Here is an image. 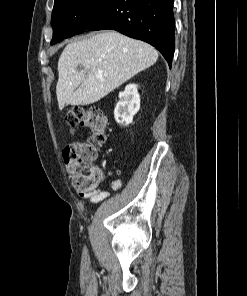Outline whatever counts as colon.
<instances>
[{
  "mask_svg": "<svg viewBox=\"0 0 247 296\" xmlns=\"http://www.w3.org/2000/svg\"><path fill=\"white\" fill-rule=\"evenodd\" d=\"M66 121L72 129L84 126L91 132L88 139L67 145L63 158L73 186L82 192L93 190L103 179V171L95 161L106 141V118L96 107L75 106L67 113Z\"/></svg>",
  "mask_w": 247,
  "mask_h": 296,
  "instance_id": "5ec220e1",
  "label": "colon"
}]
</instances>
